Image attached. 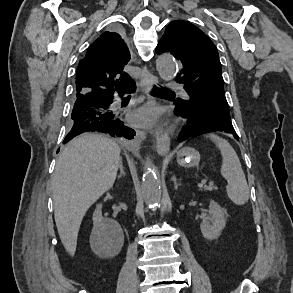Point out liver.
Here are the masks:
<instances>
[{"label": "liver", "instance_id": "liver-1", "mask_svg": "<svg viewBox=\"0 0 293 293\" xmlns=\"http://www.w3.org/2000/svg\"><path fill=\"white\" fill-rule=\"evenodd\" d=\"M120 147L108 137L86 133L61 152L52 177L55 222L61 242L73 256L87 210L114 184Z\"/></svg>", "mask_w": 293, "mask_h": 293}]
</instances>
